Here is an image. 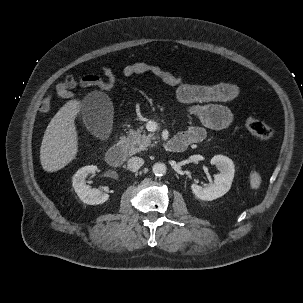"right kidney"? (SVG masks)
Listing matches in <instances>:
<instances>
[{"mask_svg":"<svg viewBox=\"0 0 303 303\" xmlns=\"http://www.w3.org/2000/svg\"><path fill=\"white\" fill-rule=\"evenodd\" d=\"M97 166L88 165L80 168L72 177V185L80 200L89 205H98L109 199L108 194L91 188L85 180L90 173L97 170Z\"/></svg>","mask_w":303,"mask_h":303,"instance_id":"obj_1","label":"right kidney"}]
</instances>
